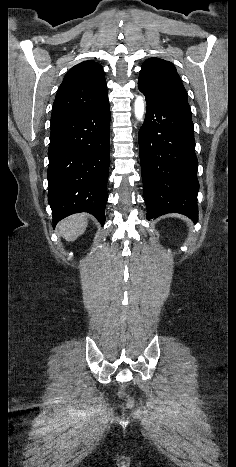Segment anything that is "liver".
Segmentation results:
<instances>
[{
    "label": "liver",
    "mask_w": 236,
    "mask_h": 467,
    "mask_svg": "<svg viewBox=\"0 0 236 467\" xmlns=\"http://www.w3.org/2000/svg\"><path fill=\"white\" fill-rule=\"evenodd\" d=\"M87 225L86 214H74L60 221L58 230L66 241L73 242L85 232Z\"/></svg>",
    "instance_id": "liver-1"
}]
</instances>
